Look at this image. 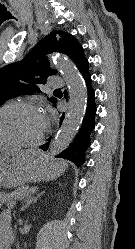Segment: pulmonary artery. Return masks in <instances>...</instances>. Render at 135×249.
Wrapping results in <instances>:
<instances>
[{"label": "pulmonary artery", "instance_id": "pulmonary-artery-1", "mask_svg": "<svg viewBox=\"0 0 135 249\" xmlns=\"http://www.w3.org/2000/svg\"><path fill=\"white\" fill-rule=\"evenodd\" d=\"M49 85L53 88H59L63 86L62 78L58 76L52 77L49 81Z\"/></svg>", "mask_w": 135, "mask_h": 249}]
</instances>
